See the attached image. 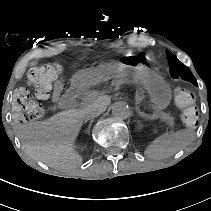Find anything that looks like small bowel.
<instances>
[{"label":"small bowel","instance_id":"c3829d8e","mask_svg":"<svg viewBox=\"0 0 211 211\" xmlns=\"http://www.w3.org/2000/svg\"><path fill=\"white\" fill-rule=\"evenodd\" d=\"M62 90H63V83L61 81H57L54 84L53 91L50 96V100L52 102H58L59 99L61 98Z\"/></svg>","mask_w":211,"mask_h":211}]
</instances>
